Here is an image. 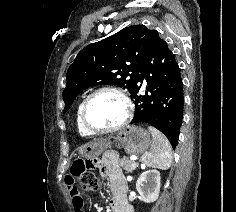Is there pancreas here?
Listing matches in <instances>:
<instances>
[{
  "label": "pancreas",
  "instance_id": "cf45deb5",
  "mask_svg": "<svg viewBox=\"0 0 236 212\" xmlns=\"http://www.w3.org/2000/svg\"><path fill=\"white\" fill-rule=\"evenodd\" d=\"M133 164L136 165V167L138 166V164L132 160H129L128 157L124 156L120 161H119V165L120 167H122L127 173H131L134 168L132 167Z\"/></svg>",
  "mask_w": 236,
  "mask_h": 212
}]
</instances>
